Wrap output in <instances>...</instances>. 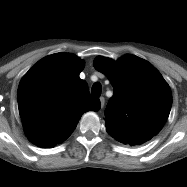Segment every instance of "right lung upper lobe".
Instances as JSON below:
<instances>
[{
	"mask_svg": "<svg viewBox=\"0 0 187 187\" xmlns=\"http://www.w3.org/2000/svg\"><path fill=\"white\" fill-rule=\"evenodd\" d=\"M84 61L56 53L38 61L21 79L17 98L23 127L35 145L51 148L74 131L82 114L98 111L100 101L89 96L80 79Z\"/></svg>",
	"mask_w": 187,
	"mask_h": 187,
	"instance_id": "obj_1",
	"label": "right lung upper lobe"
}]
</instances>
